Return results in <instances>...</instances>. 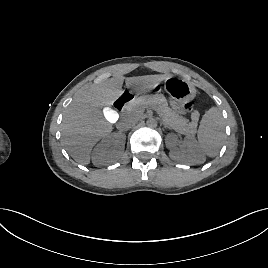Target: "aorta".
Segmentation results:
<instances>
[{
  "mask_svg": "<svg viewBox=\"0 0 268 268\" xmlns=\"http://www.w3.org/2000/svg\"><path fill=\"white\" fill-rule=\"evenodd\" d=\"M146 125L149 127V128H156L157 125H158V122L156 120V118H154L153 116L149 117L146 121Z\"/></svg>",
  "mask_w": 268,
  "mask_h": 268,
  "instance_id": "aorta-1",
  "label": "aorta"
}]
</instances>
